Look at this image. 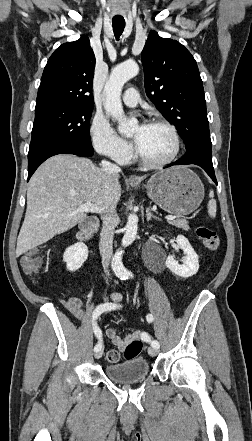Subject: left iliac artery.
Segmentation results:
<instances>
[{"label": "left iliac artery", "instance_id": "obj_1", "mask_svg": "<svg viewBox=\"0 0 252 441\" xmlns=\"http://www.w3.org/2000/svg\"><path fill=\"white\" fill-rule=\"evenodd\" d=\"M146 319H147V322H148V323H151V322H153V320H154L152 314H148V315L146 316ZM140 339H141V341H143V342H148V343H150L151 346L154 347V348L159 349V347H160V344H159V342H158L157 340H153V339H151V337H150V332H149V331L142 330V332L140 333Z\"/></svg>", "mask_w": 252, "mask_h": 441}]
</instances>
